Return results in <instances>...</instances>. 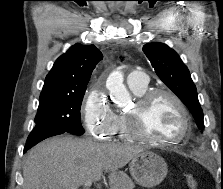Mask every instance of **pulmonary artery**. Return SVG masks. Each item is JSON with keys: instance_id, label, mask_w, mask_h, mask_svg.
Instances as JSON below:
<instances>
[{"instance_id": "e3ab8cb5", "label": "pulmonary artery", "mask_w": 223, "mask_h": 189, "mask_svg": "<svg viewBox=\"0 0 223 189\" xmlns=\"http://www.w3.org/2000/svg\"><path fill=\"white\" fill-rule=\"evenodd\" d=\"M148 76L142 70H133L127 78V85L131 89H141L148 85Z\"/></svg>"}]
</instances>
